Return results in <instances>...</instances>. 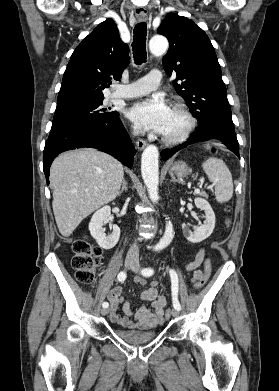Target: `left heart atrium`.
Returning a JSON list of instances; mask_svg holds the SVG:
<instances>
[{
	"label": "left heart atrium",
	"mask_w": 279,
	"mask_h": 391,
	"mask_svg": "<svg viewBox=\"0 0 279 391\" xmlns=\"http://www.w3.org/2000/svg\"><path fill=\"white\" fill-rule=\"evenodd\" d=\"M169 113L170 108L164 99L156 96L132 104L127 109L126 116L143 128L162 133Z\"/></svg>",
	"instance_id": "obj_1"
}]
</instances>
